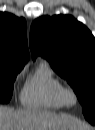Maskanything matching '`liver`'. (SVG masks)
Wrapping results in <instances>:
<instances>
[{
  "mask_svg": "<svg viewBox=\"0 0 95 130\" xmlns=\"http://www.w3.org/2000/svg\"><path fill=\"white\" fill-rule=\"evenodd\" d=\"M89 130L80 121L67 115L40 109L0 108V130Z\"/></svg>",
  "mask_w": 95,
  "mask_h": 130,
  "instance_id": "1",
  "label": "liver"
}]
</instances>
